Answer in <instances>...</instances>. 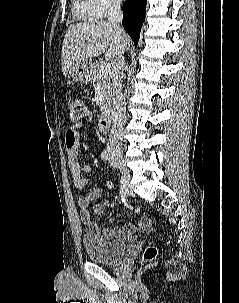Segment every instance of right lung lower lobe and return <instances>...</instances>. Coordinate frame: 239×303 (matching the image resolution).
<instances>
[{"label":"right lung lower lobe","mask_w":239,"mask_h":303,"mask_svg":"<svg viewBox=\"0 0 239 303\" xmlns=\"http://www.w3.org/2000/svg\"><path fill=\"white\" fill-rule=\"evenodd\" d=\"M147 0H126L123 5V27L131 36L135 47L138 44L140 30L145 20Z\"/></svg>","instance_id":"right-lung-lower-lobe-1"}]
</instances>
